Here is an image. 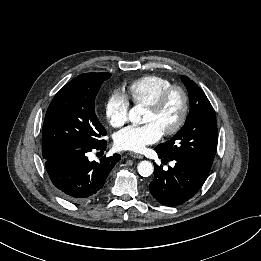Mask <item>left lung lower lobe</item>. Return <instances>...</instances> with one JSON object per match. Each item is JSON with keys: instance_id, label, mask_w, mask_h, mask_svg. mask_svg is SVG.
<instances>
[{"instance_id": "1", "label": "left lung lower lobe", "mask_w": 261, "mask_h": 261, "mask_svg": "<svg viewBox=\"0 0 261 261\" xmlns=\"http://www.w3.org/2000/svg\"><path fill=\"white\" fill-rule=\"evenodd\" d=\"M156 152L163 160L175 161V166L168 167V170L164 171L162 165L155 164L154 179L149 185L151 195L166 206H176L186 202L201 188L209 172L195 168L183 159L167 158L160 152Z\"/></svg>"}]
</instances>
